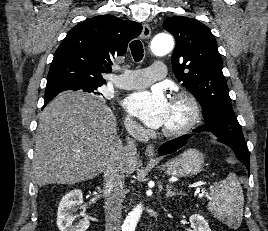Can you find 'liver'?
I'll list each match as a JSON object with an SVG mask.
<instances>
[{
    "label": "liver",
    "instance_id": "obj_1",
    "mask_svg": "<svg viewBox=\"0 0 268 231\" xmlns=\"http://www.w3.org/2000/svg\"><path fill=\"white\" fill-rule=\"evenodd\" d=\"M117 121L105 102L83 92H64L39 117L33 172L39 186L75 184L103 172L112 153L122 147ZM137 160L125 163L126 175Z\"/></svg>",
    "mask_w": 268,
    "mask_h": 231
}]
</instances>
